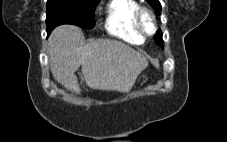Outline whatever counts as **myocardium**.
I'll list each match as a JSON object with an SVG mask.
<instances>
[{"instance_id":"f54148a6","label":"myocardium","mask_w":227,"mask_h":142,"mask_svg":"<svg viewBox=\"0 0 227 142\" xmlns=\"http://www.w3.org/2000/svg\"><path fill=\"white\" fill-rule=\"evenodd\" d=\"M145 18H148L149 23L152 27V29L149 31L147 29V24L145 22ZM136 26L139 30V32L143 36H152L156 33L157 31V21L155 14L153 13L152 10L146 8V7H140V9L136 13Z\"/></svg>"}]
</instances>
